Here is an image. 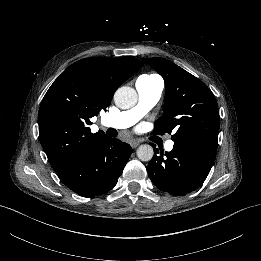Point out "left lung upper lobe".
<instances>
[{
    "label": "left lung upper lobe",
    "instance_id": "obj_1",
    "mask_svg": "<svg viewBox=\"0 0 261 261\" xmlns=\"http://www.w3.org/2000/svg\"><path fill=\"white\" fill-rule=\"evenodd\" d=\"M165 81L164 114L155 134H171L173 141L201 138L216 143L220 127L218 105L211 90L198 78L164 58H142Z\"/></svg>",
    "mask_w": 261,
    "mask_h": 261
}]
</instances>
